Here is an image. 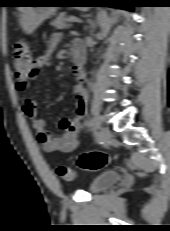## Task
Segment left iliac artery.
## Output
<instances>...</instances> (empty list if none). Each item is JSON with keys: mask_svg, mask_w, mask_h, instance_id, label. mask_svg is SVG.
Here are the masks:
<instances>
[{"mask_svg": "<svg viewBox=\"0 0 170 231\" xmlns=\"http://www.w3.org/2000/svg\"><path fill=\"white\" fill-rule=\"evenodd\" d=\"M96 125V122H95V120H91L90 122H89V126H95Z\"/></svg>", "mask_w": 170, "mask_h": 231, "instance_id": "left-iliac-artery-1", "label": "left iliac artery"}]
</instances>
